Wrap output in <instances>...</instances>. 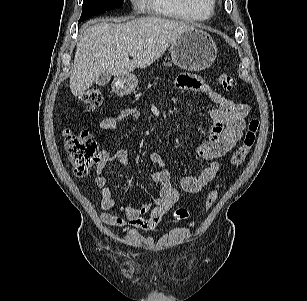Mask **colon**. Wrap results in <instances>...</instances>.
<instances>
[{
  "label": "colon",
  "mask_w": 307,
  "mask_h": 301,
  "mask_svg": "<svg viewBox=\"0 0 307 301\" xmlns=\"http://www.w3.org/2000/svg\"><path fill=\"white\" fill-rule=\"evenodd\" d=\"M217 82L226 91H230L236 86L235 78L225 72L218 73ZM79 99L89 112L98 108L103 101L101 91L98 88H90L84 91ZM259 123L257 117H252L248 121L242 143L230 158V165L232 167L241 165L250 153L256 142ZM64 146L74 173L77 176L89 174L93 166L101 159L97 142L86 130L80 132L65 131ZM217 196L218 188H214L207 194L204 202L205 210H209L214 205ZM174 216L178 220H184L188 217V212L185 209H179L175 212Z\"/></svg>",
  "instance_id": "obj_1"
}]
</instances>
